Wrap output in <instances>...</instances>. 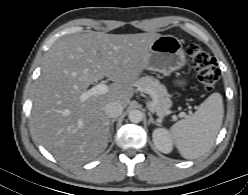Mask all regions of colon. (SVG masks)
Masks as SVG:
<instances>
[{"instance_id": "1", "label": "colon", "mask_w": 248, "mask_h": 195, "mask_svg": "<svg viewBox=\"0 0 248 195\" xmlns=\"http://www.w3.org/2000/svg\"><path fill=\"white\" fill-rule=\"evenodd\" d=\"M188 55L203 88L206 91L213 90L220 76L215 58L198 45H190Z\"/></svg>"}]
</instances>
